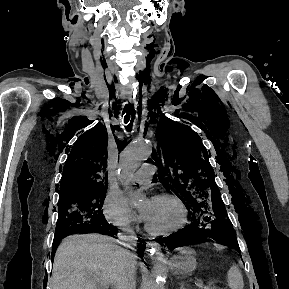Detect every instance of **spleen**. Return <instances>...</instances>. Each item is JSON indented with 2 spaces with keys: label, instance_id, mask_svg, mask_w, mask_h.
Listing matches in <instances>:
<instances>
[{
  "label": "spleen",
  "instance_id": "spleen-1",
  "mask_svg": "<svg viewBox=\"0 0 289 289\" xmlns=\"http://www.w3.org/2000/svg\"><path fill=\"white\" fill-rule=\"evenodd\" d=\"M227 281L230 289H243V277L241 271L236 265L231 266L228 270Z\"/></svg>",
  "mask_w": 289,
  "mask_h": 289
}]
</instances>
